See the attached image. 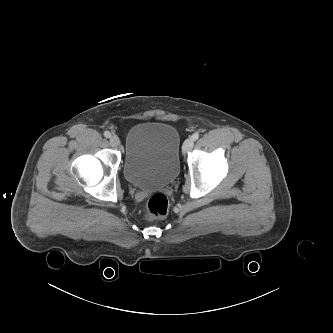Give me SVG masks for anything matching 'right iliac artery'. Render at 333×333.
Listing matches in <instances>:
<instances>
[{
  "label": "right iliac artery",
  "instance_id": "obj_1",
  "mask_svg": "<svg viewBox=\"0 0 333 333\" xmlns=\"http://www.w3.org/2000/svg\"><path fill=\"white\" fill-rule=\"evenodd\" d=\"M104 136H105L106 138H110V137H111V133H110L109 131H105V132H104Z\"/></svg>",
  "mask_w": 333,
  "mask_h": 333
}]
</instances>
